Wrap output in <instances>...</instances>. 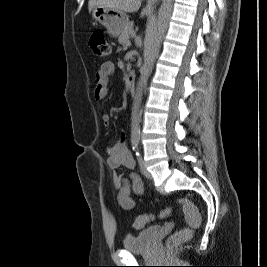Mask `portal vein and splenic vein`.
Here are the masks:
<instances>
[{"mask_svg": "<svg viewBox=\"0 0 267 267\" xmlns=\"http://www.w3.org/2000/svg\"><path fill=\"white\" fill-rule=\"evenodd\" d=\"M126 45H127V46H130V45H131V43H130L129 40L126 42Z\"/></svg>", "mask_w": 267, "mask_h": 267, "instance_id": "1", "label": "portal vein and splenic vein"}]
</instances>
